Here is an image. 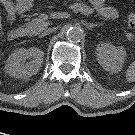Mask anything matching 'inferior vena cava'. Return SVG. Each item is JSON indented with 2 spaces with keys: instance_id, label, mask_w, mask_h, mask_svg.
<instances>
[{
  "instance_id": "602c4592",
  "label": "inferior vena cava",
  "mask_w": 135,
  "mask_h": 135,
  "mask_svg": "<svg viewBox=\"0 0 135 135\" xmlns=\"http://www.w3.org/2000/svg\"><path fill=\"white\" fill-rule=\"evenodd\" d=\"M54 30H55V28L48 29V30H46L45 32L42 33V36H45V35H47V34L53 32Z\"/></svg>"
}]
</instances>
